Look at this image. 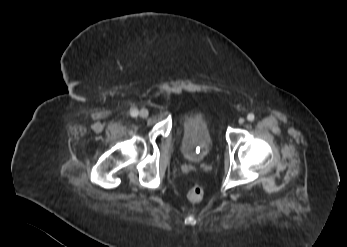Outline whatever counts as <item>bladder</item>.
I'll return each mask as SVG.
<instances>
[{"instance_id": "obj_1", "label": "bladder", "mask_w": 347, "mask_h": 247, "mask_svg": "<svg viewBox=\"0 0 347 247\" xmlns=\"http://www.w3.org/2000/svg\"><path fill=\"white\" fill-rule=\"evenodd\" d=\"M180 127L183 157L193 163L204 161L213 145L209 116L203 111L186 112L180 117Z\"/></svg>"}]
</instances>
